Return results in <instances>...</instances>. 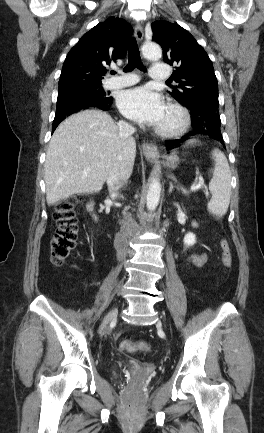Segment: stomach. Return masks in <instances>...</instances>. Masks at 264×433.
<instances>
[{"label":"stomach","instance_id":"0dacf381","mask_svg":"<svg viewBox=\"0 0 264 433\" xmlns=\"http://www.w3.org/2000/svg\"><path fill=\"white\" fill-rule=\"evenodd\" d=\"M179 164V157L176 153H172L165 157L164 165L168 168L174 169Z\"/></svg>","mask_w":264,"mask_h":433}]
</instances>
